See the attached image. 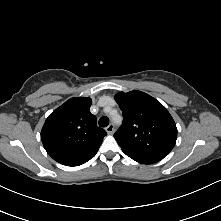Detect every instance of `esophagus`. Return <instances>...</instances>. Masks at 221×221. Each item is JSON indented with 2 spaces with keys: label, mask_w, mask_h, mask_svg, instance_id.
<instances>
[{
  "label": "esophagus",
  "mask_w": 221,
  "mask_h": 221,
  "mask_svg": "<svg viewBox=\"0 0 221 221\" xmlns=\"http://www.w3.org/2000/svg\"><path fill=\"white\" fill-rule=\"evenodd\" d=\"M106 132L108 134H113L114 133V125L113 124H109L107 127H106Z\"/></svg>",
  "instance_id": "34e87169"
}]
</instances>
